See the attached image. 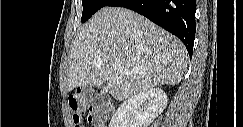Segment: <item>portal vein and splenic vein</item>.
I'll list each match as a JSON object with an SVG mask.
<instances>
[{"label":"portal vein and splenic vein","instance_id":"obj_1","mask_svg":"<svg viewBox=\"0 0 243 127\" xmlns=\"http://www.w3.org/2000/svg\"><path fill=\"white\" fill-rule=\"evenodd\" d=\"M112 67L114 68V70H117L119 72L123 71V67L121 66V64L115 63V64L112 65ZM124 72L126 74H132L134 71H132V70H124Z\"/></svg>","mask_w":243,"mask_h":127}]
</instances>
